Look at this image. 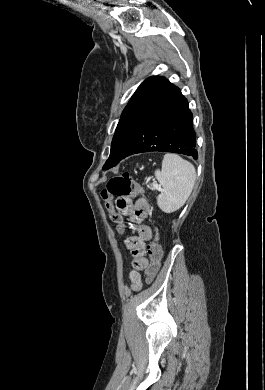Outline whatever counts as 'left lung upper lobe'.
Returning a JSON list of instances; mask_svg holds the SVG:
<instances>
[{
    "label": "left lung upper lobe",
    "instance_id": "obj_1",
    "mask_svg": "<svg viewBox=\"0 0 265 390\" xmlns=\"http://www.w3.org/2000/svg\"><path fill=\"white\" fill-rule=\"evenodd\" d=\"M165 81V77L151 76L137 88L122 112L113 136L110 156L103 166L104 170L119 163L133 138L142 110Z\"/></svg>",
    "mask_w": 265,
    "mask_h": 390
}]
</instances>
